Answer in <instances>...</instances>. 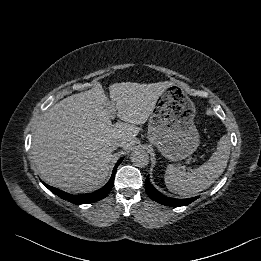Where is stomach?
Returning a JSON list of instances; mask_svg holds the SVG:
<instances>
[{"label": "stomach", "mask_w": 261, "mask_h": 261, "mask_svg": "<svg viewBox=\"0 0 261 261\" xmlns=\"http://www.w3.org/2000/svg\"><path fill=\"white\" fill-rule=\"evenodd\" d=\"M170 83L150 114L148 139L164 157L179 161L196 151L200 137L194 125V103L182 83Z\"/></svg>", "instance_id": "obj_1"}]
</instances>
